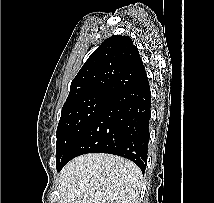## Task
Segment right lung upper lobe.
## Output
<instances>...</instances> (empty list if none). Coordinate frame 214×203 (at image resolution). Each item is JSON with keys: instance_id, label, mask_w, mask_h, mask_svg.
<instances>
[{"instance_id": "1", "label": "right lung upper lobe", "mask_w": 214, "mask_h": 203, "mask_svg": "<svg viewBox=\"0 0 214 203\" xmlns=\"http://www.w3.org/2000/svg\"><path fill=\"white\" fill-rule=\"evenodd\" d=\"M145 79V67L132 39L113 35L82 66L71 83L66 102L94 93L113 96Z\"/></svg>"}]
</instances>
